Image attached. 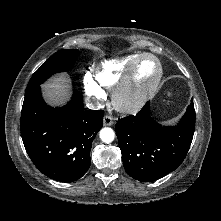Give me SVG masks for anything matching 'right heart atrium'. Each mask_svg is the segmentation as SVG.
<instances>
[{"label": "right heart atrium", "instance_id": "right-heart-atrium-1", "mask_svg": "<svg viewBox=\"0 0 221 221\" xmlns=\"http://www.w3.org/2000/svg\"><path fill=\"white\" fill-rule=\"evenodd\" d=\"M85 92L96 102H100L105 98V93L101 86L93 79L90 73H86L83 78Z\"/></svg>", "mask_w": 221, "mask_h": 221}]
</instances>
